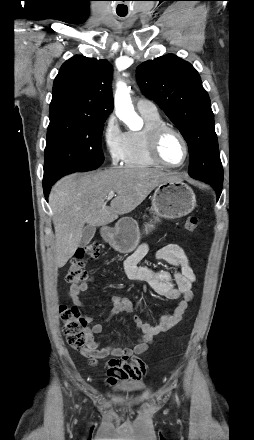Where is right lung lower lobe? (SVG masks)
Listing matches in <instances>:
<instances>
[{
  "mask_svg": "<svg viewBox=\"0 0 254 440\" xmlns=\"http://www.w3.org/2000/svg\"><path fill=\"white\" fill-rule=\"evenodd\" d=\"M52 185L53 184H43L44 195H45L46 200H48V194H49V191H50Z\"/></svg>",
  "mask_w": 254,
  "mask_h": 440,
  "instance_id": "98d812e1",
  "label": "right lung lower lobe"
}]
</instances>
